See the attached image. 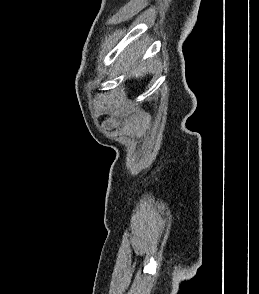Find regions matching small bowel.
I'll use <instances>...</instances> for the list:
<instances>
[{"label": "small bowel", "instance_id": "1", "mask_svg": "<svg viewBox=\"0 0 259 294\" xmlns=\"http://www.w3.org/2000/svg\"><path fill=\"white\" fill-rule=\"evenodd\" d=\"M119 125L118 121L116 119H108L104 123V126L107 129H115Z\"/></svg>", "mask_w": 259, "mask_h": 294}]
</instances>
